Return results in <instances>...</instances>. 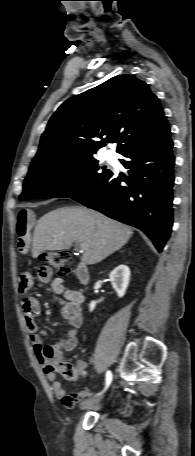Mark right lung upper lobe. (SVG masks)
I'll list each match as a JSON object with an SVG mask.
<instances>
[{"label": "right lung upper lobe", "mask_w": 195, "mask_h": 456, "mask_svg": "<svg viewBox=\"0 0 195 456\" xmlns=\"http://www.w3.org/2000/svg\"><path fill=\"white\" fill-rule=\"evenodd\" d=\"M169 138L170 128L157 96L135 76L119 75L69 98L57 109L30 167L94 155L109 141L117 142V152L122 154Z\"/></svg>", "instance_id": "obj_1"}]
</instances>
